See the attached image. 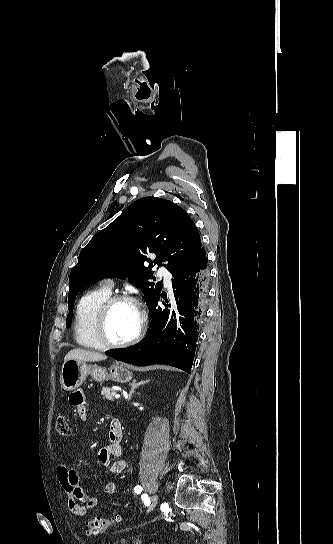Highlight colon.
Returning a JSON list of instances; mask_svg holds the SVG:
<instances>
[{"instance_id": "obj_1", "label": "colon", "mask_w": 333, "mask_h": 544, "mask_svg": "<svg viewBox=\"0 0 333 544\" xmlns=\"http://www.w3.org/2000/svg\"><path fill=\"white\" fill-rule=\"evenodd\" d=\"M56 431L61 436H70L71 435V428L67 422V419L65 416H58L56 419L55 424ZM120 521L119 516H115V518L107 519L103 517H95L88 523V530L90 533L93 534H101L108 529L115 528L117 524Z\"/></svg>"}]
</instances>
